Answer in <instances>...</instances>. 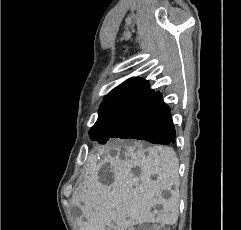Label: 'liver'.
Returning <instances> with one entry per match:
<instances>
[{
  "label": "liver",
  "mask_w": 241,
  "mask_h": 230,
  "mask_svg": "<svg viewBox=\"0 0 241 230\" xmlns=\"http://www.w3.org/2000/svg\"><path fill=\"white\" fill-rule=\"evenodd\" d=\"M92 159L84 187L72 196V204L82 210L86 219L80 221V230H108L113 223L117 224V230L146 222L176 223L177 191H172L170 199L161 196L163 189L178 184L179 161L171 148L104 147ZM134 167L141 169L139 176L133 173ZM101 169L107 170L113 179L110 186L101 182ZM154 175L156 179H152ZM156 204H161L163 209L152 211Z\"/></svg>",
  "instance_id": "obj_1"
}]
</instances>
